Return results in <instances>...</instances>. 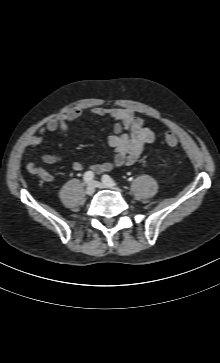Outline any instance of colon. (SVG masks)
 Wrapping results in <instances>:
<instances>
[{"label":"colon","mask_w":220,"mask_h":363,"mask_svg":"<svg viewBox=\"0 0 220 363\" xmlns=\"http://www.w3.org/2000/svg\"><path fill=\"white\" fill-rule=\"evenodd\" d=\"M164 141L170 147H175L178 144V138L176 134L172 131H167L164 134Z\"/></svg>","instance_id":"colon-1"}]
</instances>
